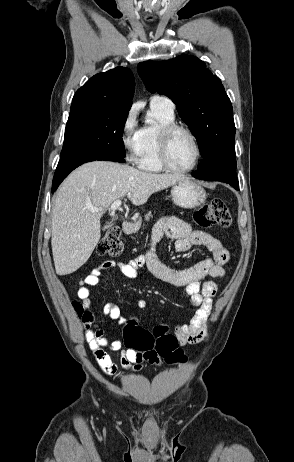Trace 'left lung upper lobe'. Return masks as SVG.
Here are the masks:
<instances>
[{"label":"left lung upper lobe","mask_w":294,"mask_h":462,"mask_svg":"<svg viewBox=\"0 0 294 462\" xmlns=\"http://www.w3.org/2000/svg\"><path fill=\"white\" fill-rule=\"evenodd\" d=\"M146 88L168 96L195 135L204 158L235 153L233 109L221 80L197 57L181 55L137 66Z\"/></svg>","instance_id":"obj_1"}]
</instances>
